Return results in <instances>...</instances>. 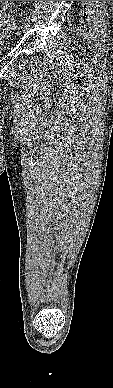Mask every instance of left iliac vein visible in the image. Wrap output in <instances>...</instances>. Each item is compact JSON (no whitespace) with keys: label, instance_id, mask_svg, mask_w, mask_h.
Masks as SVG:
<instances>
[{"label":"left iliac vein","instance_id":"4c4485c4","mask_svg":"<svg viewBox=\"0 0 113 388\" xmlns=\"http://www.w3.org/2000/svg\"><path fill=\"white\" fill-rule=\"evenodd\" d=\"M29 25L27 22H24L21 26L22 31H26L28 29Z\"/></svg>","mask_w":113,"mask_h":388}]
</instances>
